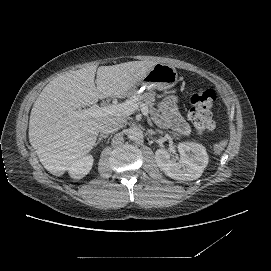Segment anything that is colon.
Instances as JSON below:
<instances>
[{
  "label": "colon",
  "instance_id": "colon-1",
  "mask_svg": "<svg viewBox=\"0 0 271 271\" xmlns=\"http://www.w3.org/2000/svg\"><path fill=\"white\" fill-rule=\"evenodd\" d=\"M216 100V93L212 89L198 88L190 97L191 109L189 118L199 133L210 131L214 128L215 123L212 118V107ZM227 146L226 140L217 142L214 149L221 153Z\"/></svg>",
  "mask_w": 271,
  "mask_h": 271
}]
</instances>
